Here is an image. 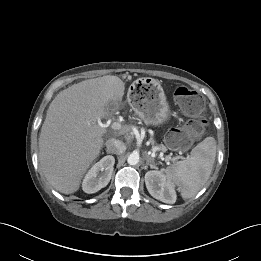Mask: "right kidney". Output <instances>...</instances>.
I'll return each mask as SVG.
<instances>
[{"label": "right kidney", "instance_id": "ca27d5eb", "mask_svg": "<svg viewBox=\"0 0 261 261\" xmlns=\"http://www.w3.org/2000/svg\"><path fill=\"white\" fill-rule=\"evenodd\" d=\"M114 163V157L107 155L94 164L83 180V191L92 194L107 186L113 173Z\"/></svg>", "mask_w": 261, "mask_h": 261}]
</instances>
